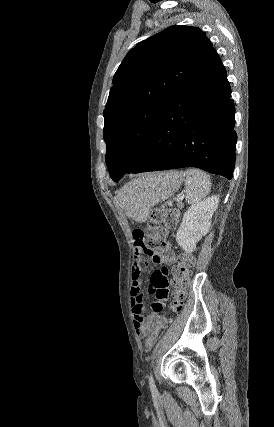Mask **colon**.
Returning <instances> with one entry per match:
<instances>
[{"label":"colon","instance_id":"5ec220e1","mask_svg":"<svg viewBox=\"0 0 274 427\" xmlns=\"http://www.w3.org/2000/svg\"><path fill=\"white\" fill-rule=\"evenodd\" d=\"M177 221V213L171 207H156L150 212L149 220L142 230L143 236L146 238L144 248L152 249L153 246H160L167 243V233L173 228ZM195 262L192 254H184L180 261L175 264L174 272L172 275L173 288L169 303L167 301L166 311L180 312L183 308V300L187 297L188 278L190 275L191 267ZM161 317H152V322L156 323V328L153 329L149 335L148 342L146 343L147 349H152L153 346L159 345L160 329L166 328V321ZM145 360L144 358L142 359Z\"/></svg>","mask_w":274,"mask_h":427}]
</instances>
